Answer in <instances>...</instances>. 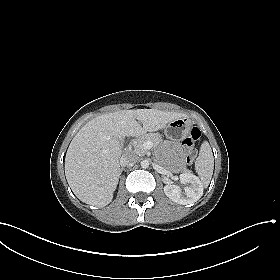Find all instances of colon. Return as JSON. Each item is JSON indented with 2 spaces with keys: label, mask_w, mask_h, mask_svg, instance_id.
Masks as SVG:
<instances>
[{
  "label": "colon",
  "mask_w": 280,
  "mask_h": 280,
  "mask_svg": "<svg viewBox=\"0 0 280 280\" xmlns=\"http://www.w3.org/2000/svg\"><path fill=\"white\" fill-rule=\"evenodd\" d=\"M200 137L201 131L199 128L195 127L191 130L189 136L183 141L185 149V159L188 163H192L197 156L195 144Z\"/></svg>",
  "instance_id": "1"
}]
</instances>
